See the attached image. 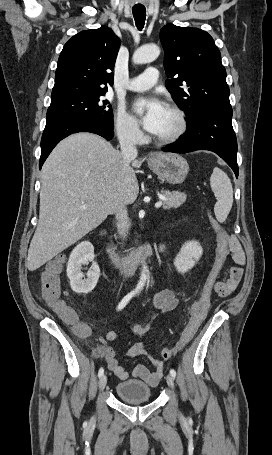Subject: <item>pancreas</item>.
<instances>
[{"label": "pancreas", "instance_id": "pancreas-1", "mask_svg": "<svg viewBox=\"0 0 272 455\" xmlns=\"http://www.w3.org/2000/svg\"><path fill=\"white\" fill-rule=\"evenodd\" d=\"M163 195L166 198L163 203L164 209L178 208L186 201V195L179 191H165L163 192Z\"/></svg>", "mask_w": 272, "mask_h": 455}]
</instances>
